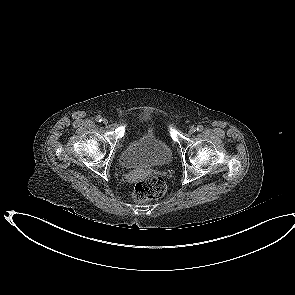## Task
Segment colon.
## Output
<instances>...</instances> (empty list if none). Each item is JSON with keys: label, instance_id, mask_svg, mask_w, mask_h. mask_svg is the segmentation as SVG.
I'll list each match as a JSON object with an SVG mask.
<instances>
[{"label": "colon", "instance_id": "obj_1", "mask_svg": "<svg viewBox=\"0 0 295 295\" xmlns=\"http://www.w3.org/2000/svg\"><path fill=\"white\" fill-rule=\"evenodd\" d=\"M165 192V181L161 177L153 175L151 179H143L135 186L133 196L135 200L144 202L158 199L162 197Z\"/></svg>", "mask_w": 295, "mask_h": 295}]
</instances>
